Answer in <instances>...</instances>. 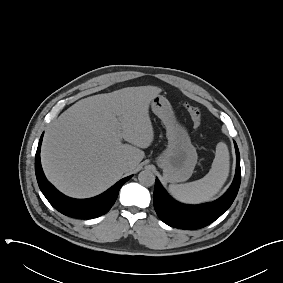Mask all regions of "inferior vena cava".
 <instances>
[{"mask_svg": "<svg viewBox=\"0 0 283 283\" xmlns=\"http://www.w3.org/2000/svg\"><path fill=\"white\" fill-rule=\"evenodd\" d=\"M130 164L128 162H125L123 164L120 165V168L123 170V171H126L128 168H129Z\"/></svg>", "mask_w": 283, "mask_h": 283, "instance_id": "obj_1", "label": "inferior vena cava"}]
</instances>
